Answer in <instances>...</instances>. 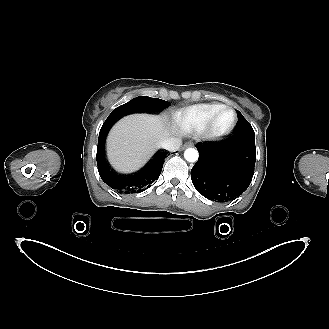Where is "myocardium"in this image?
Segmentation results:
<instances>
[{
	"label": "myocardium",
	"instance_id": "f54148a6",
	"mask_svg": "<svg viewBox=\"0 0 329 329\" xmlns=\"http://www.w3.org/2000/svg\"><path fill=\"white\" fill-rule=\"evenodd\" d=\"M224 111H231L234 115V120H233V123L231 124V126L229 128H227L226 130L220 131V130L216 129L215 124H216V121H217L218 117ZM237 121H238V115H237L236 110L233 107H230V106H223L220 109H218L216 112H214V114L209 118V120L204 125V127L200 130V132L206 138L223 137V136H226V135L230 134L234 130V128L236 127Z\"/></svg>",
	"mask_w": 329,
	"mask_h": 329
}]
</instances>
